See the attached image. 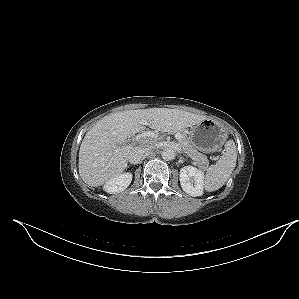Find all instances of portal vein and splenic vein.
<instances>
[{
    "mask_svg": "<svg viewBox=\"0 0 299 299\" xmlns=\"http://www.w3.org/2000/svg\"><path fill=\"white\" fill-rule=\"evenodd\" d=\"M144 137L154 138L155 137V133H153L152 131H146L144 133L139 134L137 136L136 140H140L141 138H144ZM175 138L177 140H180L182 138V136L179 133H177V134H175Z\"/></svg>",
    "mask_w": 299,
    "mask_h": 299,
    "instance_id": "1",
    "label": "portal vein and splenic vein"
}]
</instances>
